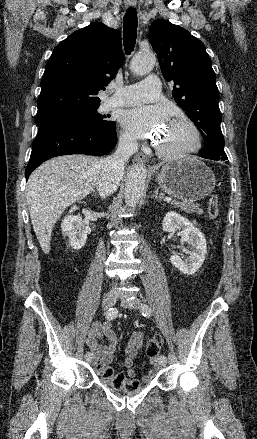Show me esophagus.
Segmentation results:
<instances>
[{"label": "esophagus", "mask_w": 257, "mask_h": 439, "mask_svg": "<svg viewBox=\"0 0 257 439\" xmlns=\"http://www.w3.org/2000/svg\"><path fill=\"white\" fill-rule=\"evenodd\" d=\"M125 4H126L127 6L135 7V5H136V0H125ZM134 159H135L137 162H141V163H146V162H147L146 157H145L142 153H138V154H136V155L134 156Z\"/></svg>", "instance_id": "1"}]
</instances>
